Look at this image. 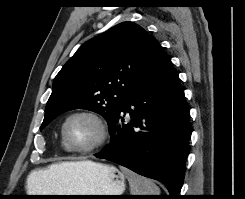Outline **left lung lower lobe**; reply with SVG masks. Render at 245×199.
Masks as SVG:
<instances>
[{
  "label": "left lung lower lobe",
  "instance_id": "obj_1",
  "mask_svg": "<svg viewBox=\"0 0 245 199\" xmlns=\"http://www.w3.org/2000/svg\"><path fill=\"white\" fill-rule=\"evenodd\" d=\"M189 119L178 73L163 52L151 73L123 101L109 123L111 143L95 156L162 182L170 199H179L192 133Z\"/></svg>",
  "mask_w": 245,
  "mask_h": 199
}]
</instances>
